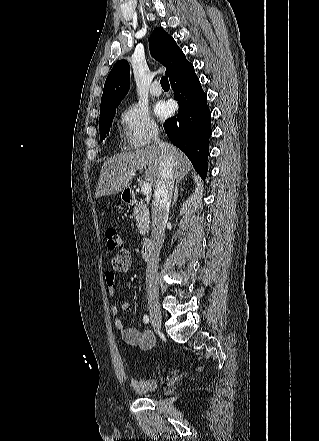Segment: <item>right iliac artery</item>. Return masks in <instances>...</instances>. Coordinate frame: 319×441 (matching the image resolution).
Listing matches in <instances>:
<instances>
[{"instance_id": "right-iliac-artery-1", "label": "right iliac artery", "mask_w": 319, "mask_h": 441, "mask_svg": "<svg viewBox=\"0 0 319 441\" xmlns=\"http://www.w3.org/2000/svg\"><path fill=\"white\" fill-rule=\"evenodd\" d=\"M143 322H144L145 324H148V323H149V317H148V315H144V316H143Z\"/></svg>"}]
</instances>
